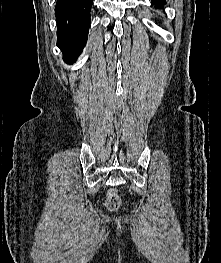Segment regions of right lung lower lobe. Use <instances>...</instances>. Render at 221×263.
Listing matches in <instances>:
<instances>
[{
    "label": "right lung lower lobe",
    "mask_w": 221,
    "mask_h": 263,
    "mask_svg": "<svg viewBox=\"0 0 221 263\" xmlns=\"http://www.w3.org/2000/svg\"><path fill=\"white\" fill-rule=\"evenodd\" d=\"M92 4L93 0H57V46L67 63L74 62L86 44Z\"/></svg>",
    "instance_id": "obj_1"
}]
</instances>
